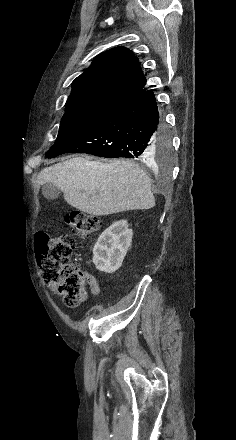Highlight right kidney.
Here are the masks:
<instances>
[{"label": "right kidney", "instance_id": "1", "mask_svg": "<svg viewBox=\"0 0 236 440\" xmlns=\"http://www.w3.org/2000/svg\"><path fill=\"white\" fill-rule=\"evenodd\" d=\"M133 232L126 220L114 222L98 238L93 248V263L99 271L113 273L118 270L128 248Z\"/></svg>", "mask_w": 236, "mask_h": 440}]
</instances>
